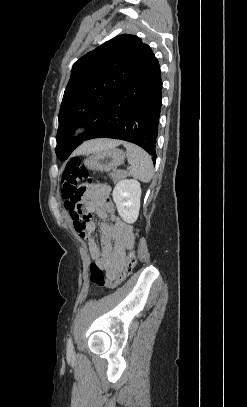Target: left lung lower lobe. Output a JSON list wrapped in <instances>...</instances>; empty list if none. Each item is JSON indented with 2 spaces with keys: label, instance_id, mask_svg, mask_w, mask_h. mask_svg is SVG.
<instances>
[{
  "label": "left lung lower lobe",
  "instance_id": "1",
  "mask_svg": "<svg viewBox=\"0 0 247 407\" xmlns=\"http://www.w3.org/2000/svg\"><path fill=\"white\" fill-rule=\"evenodd\" d=\"M162 80L155 56L114 98L95 129L86 137L125 140L146 150L155 163L161 110Z\"/></svg>",
  "mask_w": 247,
  "mask_h": 407
}]
</instances>
